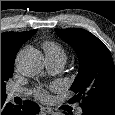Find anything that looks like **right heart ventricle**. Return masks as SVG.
Returning a JSON list of instances; mask_svg holds the SVG:
<instances>
[{"label": "right heart ventricle", "instance_id": "right-heart-ventricle-1", "mask_svg": "<svg viewBox=\"0 0 115 115\" xmlns=\"http://www.w3.org/2000/svg\"><path fill=\"white\" fill-rule=\"evenodd\" d=\"M43 49L46 56H60L65 59V52L60 44L54 41H45Z\"/></svg>", "mask_w": 115, "mask_h": 115}]
</instances>
